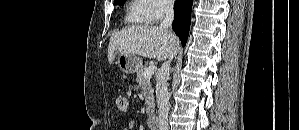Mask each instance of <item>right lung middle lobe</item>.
<instances>
[{
  "label": "right lung middle lobe",
  "mask_w": 299,
  "mask_h": 130,
  "mask_svg": "<svg viewBox=\"0 0 299 130\" xmlns=\"http://www.w3.org/2000/svg\"><path fill=\"white\" fill-rule=\"evenodd\" d=\"M126 2V0H118L115 2L117 5H123Z\"/></svg>",
  "instance_id": "dd1d6c3e"
}]
</instances>
